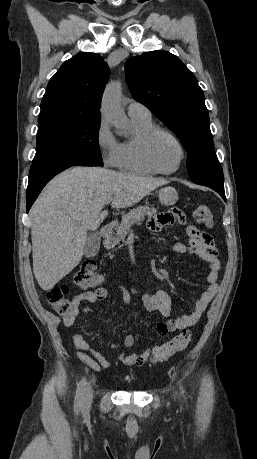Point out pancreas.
<instances>
[{
	"label": "pancreas",
	"instance_id": "obj_1",
	"mask_svg": "<svg viewBox=\"0 0 257 459\" xmlns=\"http://www.w3.org/2000/svg\"><path fill=\"white\" fill-rule=\"evenodd\" d=\"M156 212L155 208H150L149 206H138L130 210L122 216V221L116 229V235L110 234L107 236L104 241L105 248L108 250L113 249L127 236L132 225L139 224L140 221L144 220L145 216L152 217Z\"/></svg>",
	"mask_w": 257,
	"mask_h": 459
}]
</instances>
